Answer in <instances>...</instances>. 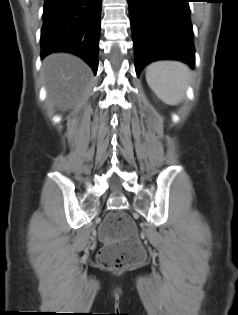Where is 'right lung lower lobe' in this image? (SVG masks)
<instances>
[{
  "label": "right lung lower lobe",
  "instance_id": "1",
  "mask_svg": "<svg viewBox=\"0 0 238 315\" xmlns=\"http://www.w3.org/2000/svg\"><path fill=\"white\" fill-rule=\"evenodd\" d=\"M101 0H44L41 58L65 51L84 59L96 74Z\"/></svg>",
  "mask_w": 238,
  "mask_h": 315
}]
</instances>
